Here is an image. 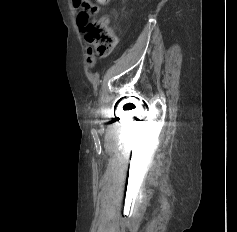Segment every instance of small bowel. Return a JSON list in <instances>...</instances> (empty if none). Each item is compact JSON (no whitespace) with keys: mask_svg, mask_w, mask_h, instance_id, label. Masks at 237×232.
Listing matches in <instances>:
<instances>
[{"mask_svg":"<svg viewBox=\"0 0 237 232\" xmlns=\"http://www.w3.org/2000/svg\"><path fill=\"white\" fill-rule=\"evenodd\" d=\"M97 11V9H96ZM104 23L108 24V20L104 19ZM96 63V58L94 56L93 50L91 48L87 49V64L89 67H93Z\"/></svg>","mask_w":237,"mask_h":232,"instance_id":"obj_1","label":"small bowel"}]
</instances>
